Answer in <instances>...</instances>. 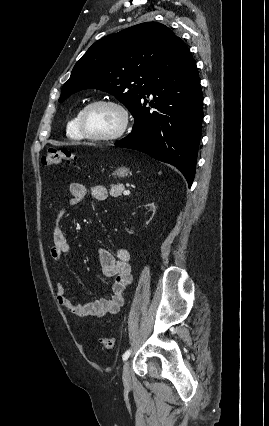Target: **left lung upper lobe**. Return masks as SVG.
<instances>
[{
  "label": "left lung upper lobe",
  "instance_id": "1",
  "mask_svg": "<svg viewBox=\"0 0 269 426\" xmlns=\"http://www.w3.org/2000/svg\"><path fill=\"white\" fill-rule=\"evenodd\" d=\"M178 37L168 27L145 22L95 42L74 66L59 102L83 89L114 95L131 111L149 88V78Z\"/></svg>",
  "mask_w": 269,
  "mask_h": 426
}]
</instances>
